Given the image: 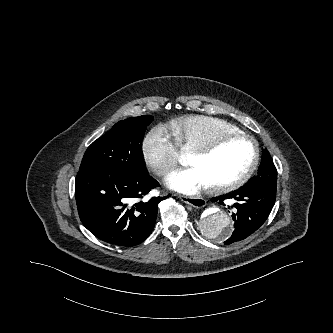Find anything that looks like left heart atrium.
<instances>
[{"instance_id":"obj_1","label":"left heart atrium","mask_w":333,"mask_h":333,"mask_svg":"<svg viewBox=\"0 0 333 333\" xmlns=\"http://www.w3.org/2000/svg\"><path fill=\"white\" fill-rule=\"evenodd\" d=\"M166 185L183 194H196L209 187V182L203 173L196 167L172 172L166 178Z\"/></svg>"}]
</instances>
